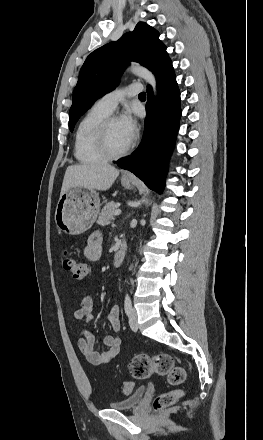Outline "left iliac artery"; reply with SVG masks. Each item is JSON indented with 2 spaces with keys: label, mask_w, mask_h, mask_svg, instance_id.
<instances>
[{
  "label": "left iliac artery",
  "mask_w": 263,
  "mask_h": 440,
  "mask_svg": "<svg viewBox=\"0 0 263 440\" xmlns=\"http://www.w3.org/2000/svg\"><path fill=\"white\" fill-rule=\"evenodd\" d=\"M131 309H132L131 299H130V296H129L128 294H126V296H125V301H124V310H125V313H126L127 315H129L130 312H131Z\"/></svg>",
  "instance_id": "1"
}]
</instances>
